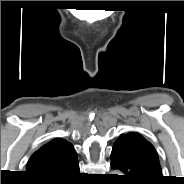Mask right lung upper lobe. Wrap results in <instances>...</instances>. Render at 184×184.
Returning a JSON list of instances; mask_svg holds the SVG:
<instances>
[{
    "mask_svg": "<svg viewBox=\"0 0 184 184\" xmlns=\"http://www.w3.org/2000/svg\"><path fill=\"white\" fill-rule=\"evenodd\" d=\"M76 158L72 144L64 139L56 138L42 146L30 157L27 173L34 179L51 176Z\"/></svg>",
    "mask_w": 184,
    "mask_h": 184,
    "instance_id": "1",
    "label": "right lung upper lobe"
}]
</instances>
